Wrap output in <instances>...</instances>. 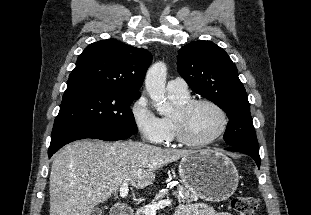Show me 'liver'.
<instances>
[{
	"instance_id": "1",
	"label": "liver",
	"mask_w": 311,
	"mask_h": 215,
	"mask_svg": "<svg viewBox=\"0 0 311 215\" xmlns=\"http://www.w3.org/2000/svg\"><path fill=\"white\" fill-rule=\"evenodd\" d=\"M190 153L133 141L73 142L53 157L50 215H91L123 182L143 189L156 170Z\"/></svg>"
}]
</instances>
